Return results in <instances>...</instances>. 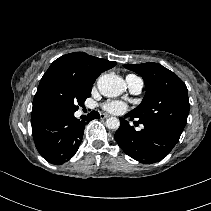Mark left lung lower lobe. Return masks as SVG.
<instances>
[{"label": "left lung lower lobe", "instance_id": "obj_1", "mask_svg": "<svg viewBox=\"0 0 211 211\" xmlns=\"http://www.w3.org/2000/svg\"><path fill=\"white\" fill-rule=\"evenodd\" d=\"M126 117L133 120L129 113L120 118V127L114 137L119 147L140 163L151 164L162 160L180 138L161 126L145 123H141L144 125L141 131H136L125 120Z\"/></svg>", "mask_w": 211, "mask_h": 211}]
</instances>
